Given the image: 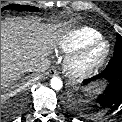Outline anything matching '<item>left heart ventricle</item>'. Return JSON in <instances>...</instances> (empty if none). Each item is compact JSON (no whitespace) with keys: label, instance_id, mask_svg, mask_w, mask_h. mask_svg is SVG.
<instances>
[{"label":"left heart ventricle","instance_id":"left-heart-ventricle-1","mask_svg":"<svg viewBox=\"0 0 122 122\" xmlns=\"http://www.w3.org/2000/svg\"><path fill=\"white\" fill-rule=\"evenodd\" d=\"M103 51V47H97L91 54L90 56L86 59V62H90L92 60H94L97 56H99L101 54V52Z\"/></svg>","mask_w":122,"mask_h":122}]
</instances>
